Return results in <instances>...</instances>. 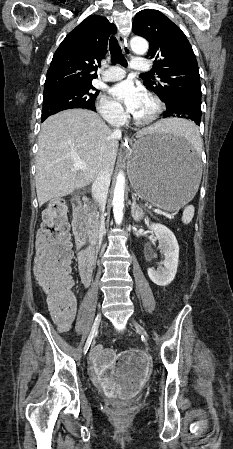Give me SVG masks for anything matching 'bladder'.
<instances>
[{"instance_id":"obj_1","label":"bladder","mask_w":233,"mask_h":449,"mask_svg":"<svg viewBox=\"0 0 233 449\" xmlns=\"http://www.w3.org/2000/svg\"><path fill=\"white\" fill-rule=\"evenodd\" d=\"M115 403L117 407H126L132 403V399L117 400Z\"/></svg>"}]
</instances>
